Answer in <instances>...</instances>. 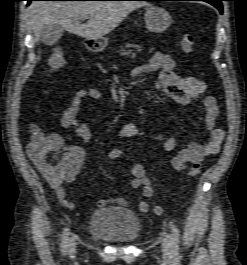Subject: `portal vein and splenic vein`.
Wrapping results in <instances>:
<instances>
[{
	"mask_svg": "<svg viewBox=\"0 0 247 265\" xmlns=\"http://www.w3.org/2000/svg\"><path fill=\"white\" fill-rule=\"evenodd\" d=\"M81 19L82 20H86V19H88V17L87 16H82Z\"/></svg>",
	"mask_w": 247,
	"mask_h": 265,
	"instance_id": "1",
	"label": "portal vein and splenic vein"
}]
</instances>
